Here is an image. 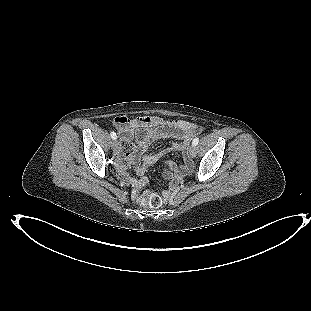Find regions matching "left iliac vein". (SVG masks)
Segmentation results:
<instances>
[{
  "instance_id": "left-iliac-vein-1",
  "label": "left iliac vein",
  "mask_w": 311,
  "mask_h": 311,
  "mask_svg": "<svg viewBox=\"0 0 311 311\" xmlns=\"http://www.w3.org/2000/svg\"><path fill=\"white\" fill-rule=\"evenodd\" d=\"M188 153L192 158H194L196 156V147L194 145L190 146Z\"/></svg>"
}]
</instances>
